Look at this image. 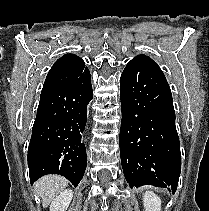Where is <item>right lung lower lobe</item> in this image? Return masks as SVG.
I'll return each instance as SVG.
<instances>
[{
  "label": "right lung lower lobe",
  "instance_id": "right-lung-lower-lobe-1",
  "mask_svg": "<svg viewBox=\"0 0 209 211\" xmlns=\"http://www.w3.org/2000/svg\"><path fill=\"white\" fill-rule=\"evenodd\" d=\"M92 97L86 68L72 82L40 98L28 148L31 184L44 175L60 174L78 185L87 164L82 133Z\"/></svg>",
  "mask_w": 209,
  "mask_h": 211
}]
</instances>
